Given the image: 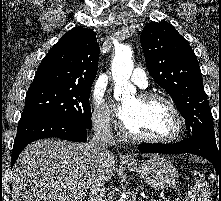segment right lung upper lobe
<instances>
[{
	"mask_svg": "<svg viewBox=\"0 0 221 201\" xmlns=\"http://www.w3.org/2000/svg\"><path fill=\"white\" fill-rule=\"evenodd\" d=\"M96 33L87 28L68 31L43 58L30 88L90 89L98 68Z\"/></svg>",
	"mask_w": 221,
	"mask_h": 201,
	"instance_id": "cb5924a9",
	"label": "right lung upper lobe"
}]
</instances>
